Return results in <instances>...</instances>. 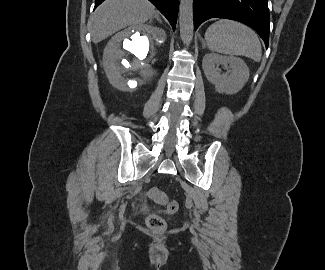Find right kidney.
I'll list each match as a JSON object with an SVG mask.
<instances>
[{"mask_svg": "<svg viewBox=\"0 0 325 270\" xmlns=\"http://www.w3.org/2000/svg\"><path fill=\"white\" fill-rule=\"evenodd\" d=\"M165 38L164 30L150 25L131 26L113 36L103 53L109 82L129 92L146 84L156 73V47Z\"/></svg>", "mask_w": 325, "mask_h": 270, "instance_id": "1", "label": "right kidney"}]
</instances>
